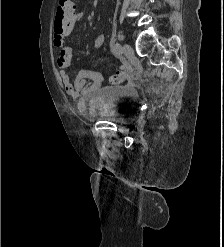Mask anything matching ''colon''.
<instances>
[{
	"label": "colon",
	"instance_id": "5ec220e1",
	"mask_svg": "<svg viewBox=\"0 0 224 247\" xmlns=\"http://www.w3.org/2000/svg\"><path fill=\"white\" fill-rule=\"evenodd\" d=\"M75 4L72 0H60L57 6L55 15V32L59 34L68 35L74 27L75 23ZM127 72L124 70H117L111 77L112 83H122L127 80Z\"/></svg>",
	"mask_w": 224,
	"mask_h": 247
}]
</instances>
